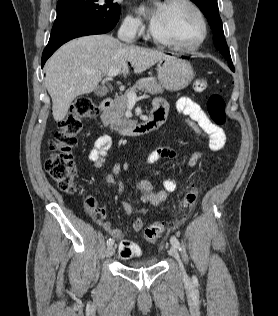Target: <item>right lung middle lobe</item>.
<instances>
[{
	"label": "right lung middle lobe",
	"instance_id": "1",
	"mask_svg": "<svg viewBox=\"0 0 278 316\" xmlns=\"http://www.w3.org/2000/svg\"><path fill=\"white\" fill-rule=\"evenodd\" d=\"M119 15V5L113 0H59L52 33L96 21L117 22Z\"/></svg>",
	"mask_w": 278,
	"mask_h": 316
}]
</instances>
